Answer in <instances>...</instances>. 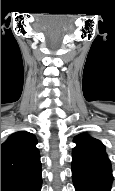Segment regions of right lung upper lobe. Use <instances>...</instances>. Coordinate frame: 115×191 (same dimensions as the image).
I'll use <instances>...</instances> for the list:
<instances>
[{
  "label": "right lung upper lobe",
  "instance_id": "cb5924a9",
  "mask_svg": "<svg viewBox=\"0 0 115 191\" xmlns=\"http://www.w3.org/2000/svg\"><path fill=\"white\" fill-rule=\"evenodd\" d=\"M36 137L19 131L1 144V177L25 175L41 168Z\"/></svg>",
  "mask_w": 115,
  "mask_h": 191
}]
</instances>
